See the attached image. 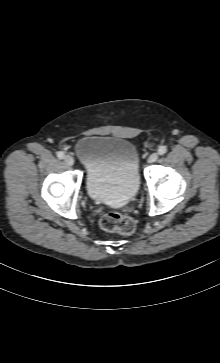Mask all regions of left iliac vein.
Returning <instances> with one entry per match:
<instances>
[{"instance_id":"left-iliac-vein-1","label":"left iliac vein","mask_w":220,"mask_h":363,"mask_svg":"<svg viewBox=\"0 0 220 363\" xmlns=\"http://www.w3.org/2000/svg\"><path fill=\"white\" fill-rule=\"evenodd\" d=\"M158 159V154L157 153H153L149 156L148 158V163H154L156 162Z\"/></svg>"}]
</instances>
